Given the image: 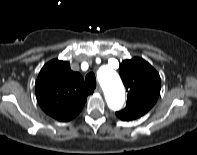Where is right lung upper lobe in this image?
<instances>
[{
    "instance_id": "cb5924a9",
    "label": "right lung upper lobe",
    "mask_w": 197,
    "mask_h": 155,
    "mask_svg": "<svg viewBox=\"0 0 197 155\" xmlns=\"http://www.w3.org/2000/svg\"><path fill=\"white\" fill-rule=\"evenodd\" d=\"M36 97L45 113L67 122L76 117L87 96L93 93L67 61L52 60L41 69L35 85Z\"/></svg>"
}]
</instances>
